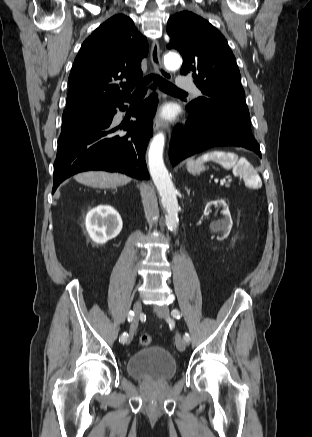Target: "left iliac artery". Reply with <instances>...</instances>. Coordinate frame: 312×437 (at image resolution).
Returning a JSON list of instances; mask_svg holds the SVG:
<instances>
[{"label":"left iliac artery","instance_id":"1","mask_svg":"<svg viewBox=\"0 0 312 437\" xmlns=\"http://www.w3.org/2000/svg\"><path fill=\"white\" fill-rule=\"evenodd\" d=\"M171 314H172V316H173L174 318H176V319H180V317H181V314H180V312H179L178 309H173ZM189 339H190L189 334H188V333H185V335H184V340H185L186 342H188Z\"/></svg>","mask_w":312,"mask_h":437}]
</instances>
